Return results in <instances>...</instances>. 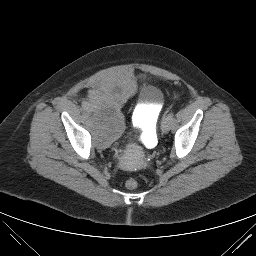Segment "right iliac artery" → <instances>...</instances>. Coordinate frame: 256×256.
I'll return each mask as SVG.
<instances>
[{
  "label": "right iliac artery",
  "mask_w": 256,
  "mask_h": 256,
  "mask_svg": "<svg viewBox=\"0 0 256 256\" xmlns=\"http://www.w3.org/2000/svg\"><path fill=\"white\" fill-rule=\"evenodd\" d=\"M80 106H81L84 110H86V109L88 108L87 103H86L85 101H82V102L80 103Z\"/></svg>",
  "instance_id": "82829eb1"
}]
</instances>
